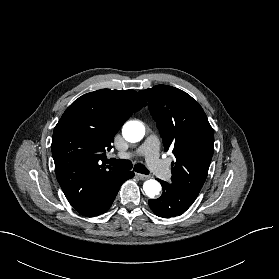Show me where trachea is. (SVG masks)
<instances>
[{
    "instance_id": "trachea-1",
    "label": "trachea",
    "mask_w": 279,
    "mask_h": 279,
    "mask_svg": "<svg viewBox=\"0 0 279 279\" xmlns=\"http://www.w3.org/2000/svg\"><path fill=\"white\" fill-rule=\"evenodd\" d=\"M107 163L123 170H130L133 167L132 162L129 160H116L114 158H110L107 160ZM134 170L138 173L149 174V170L143 164L140 163L134 165Z\"/></svg>"
}]
</instances>
